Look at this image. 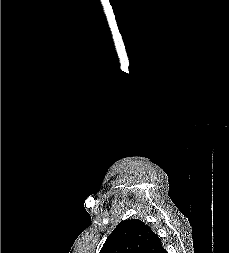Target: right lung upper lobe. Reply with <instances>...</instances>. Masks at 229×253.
<instances>
[{"instance_id": "1", "label": "right lung upper lobe", "mask_w": 229, "mask_h": 253, "mask_svg": "<svg viewBox=\"0 0 229 253\" xmlns=\"http://www.w3.org/2000/svg\"><path fill=\"white\" fill-rule=\"evenodd\" d=\"M100 253H167L160 238L138 219L120 222L106 239Z\"/></svg>"}]
</instances>
